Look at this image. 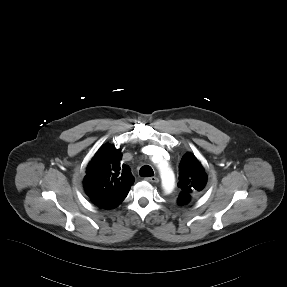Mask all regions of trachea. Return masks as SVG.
I'll list each match as a JSON object with an SVG mask.
<instances>
[{"label": "trachea", "instance_id": "1", "mask_svg": "<svg viewBox=\"0 0 287 287\" xmlns=\"http://www.w3.org/2000/svg\"><path fill=\"white\" fill-rule=\"evenodd\" d=\"M140 176L142 177H151L154 176V172L153 169L148 166V165H144L141 167L140 171H139Z\"/></svg>", "mask_w": 287, "mask_h": 287}]
</instances>
